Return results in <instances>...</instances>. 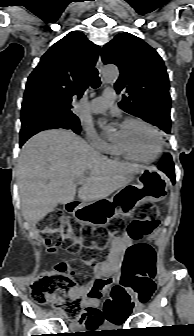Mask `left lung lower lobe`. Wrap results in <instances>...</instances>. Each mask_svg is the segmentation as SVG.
I'll return each mask as SVG.
<instances>
[{
  "mask_svg": "<svg viewBox=\"0 0 194 336\" xmlns=\"http://www.w3.org/2000/svg\"><path fill=\"white\" fill-rule=\"evenodd\" d=\"M158 168L167 174L173 184L175 183L174 165L169 154L165 155L164 160L161 162Z\"/></svg>",
  "mask_w": 194,
  "mask_h": 336,
  "instance_id": "0a47b994",
  "label": "left lung lower lobe"
}]
</instances>
